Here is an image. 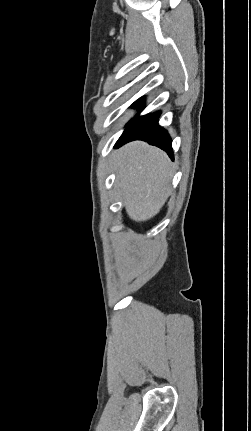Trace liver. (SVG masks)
Returning <instances> with one entry per match:
<instances>
[{
    "label": "liver",
    "mask_w": 251,
    "mask_h": 431,
    "mask_svg": "<svg viewBox=\"0 0 251 431\" xmlns=\"http://www.w3.org/2000/svg\"><path fill=\"white\" fill-rule=\"evenodd\" d=\"M116 186L128 216L142 222L159 213L170 193L173 165L163 151L141 141L112 154Z\"/></svg>",
    "instance_id": "liver-1"
}]
</instances>
